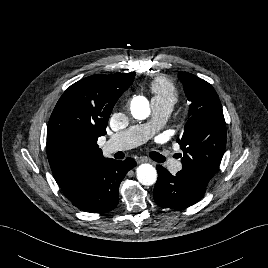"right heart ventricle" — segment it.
Segmentation results:
<instances>
[{"mask_svg":"<svg viewBox=\"0 0 268 268\" xmlns=\"http://www.w3.org/2000/svg\"><path fill=\"white\" fill-rule=\"evenodd\" d=\"M151 92L154 100L169 105L173 108L178 101L179 93L177 88L169 80L157 78L151 84Z\"/></svg>","mask_w":268,"mask_h":268,"instance_id":"e07e8e85","label":"right heart ventricle"}]
</instances>
